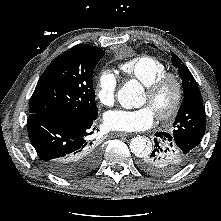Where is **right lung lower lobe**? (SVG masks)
I'll use <instances>...</instances> for the list:
<instances>
[{"mask_svg": "<svg viewBox=\"0 0 221 221\" xmlns=\"http://www.w3.org/2000/svg\"><path fill=\"white\" fill-rule=\"evenodd\" d=\"M97 116L78 118L30 114L28 135L48 170L63 178H78L96 167L100 153L89 136L95 130Z\"/></svg>", "mask_w": 221, "mask_h": 221, "instance_id": "98d812e1", "label": "right lung lower lobe"}]
</instances>
